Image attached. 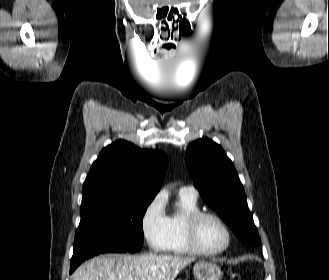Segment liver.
I'll list each match as a JSON object with an SVG mask.
<instances>
[{"label": "liver", "instance_id": "6515ba94", "mask_svg": "<svg viewBox=\"0 0 329 280\" xmlns=\"http://www.w3.org/2000/svg\"><path fill=\"white\" fill-rule=\"evenodd\" d=\"M193 258L147 253L104 255L86 261L72 280H174Z\"/></svg>", "mask_w": 329, "mask_h": 280}]
</instances>
